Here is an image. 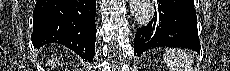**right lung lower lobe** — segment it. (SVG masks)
Instances as JSON below:
<instances>
[{"label":"right lung lower lobe","mask_w":230,"mask_h":71,"mask_svg":"<svg viewBox=\"0 0 230 71\" xmlns=\"http://www.w3.org/2000/svg\"><path fill=\"white\" fill-rule=\"evenodd\" d=\"M96 0H37L33 11L35 48L59 43L91 62L95 55Z\"/></svg>","instance_id":"98d812e1"}]
</instances>
